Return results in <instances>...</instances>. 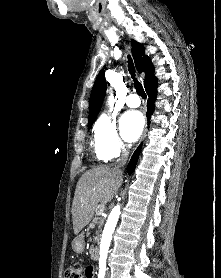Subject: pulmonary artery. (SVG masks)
I'll return each instance as SVG.
<instances>
[{
    "instance_id": "pulmonary-artery-1",
    "label": "pulmonary artery",
    "mask_w": 221,
    "mask_h": 278,
    "mask_svg": "<svg viewBox=\"0 0 221 278\" xmlns=\"http://www.w3.org/2000/svg\"><path fill=\"white\" fill-rule=\"evenodd\" d=\"M125 103L128 107L131 108H137L140 106L141 104V100L139 98V96L135 93H130L126 99H125Z\"/></svg>"
}]
</instances>
